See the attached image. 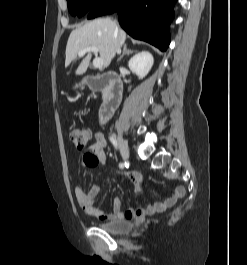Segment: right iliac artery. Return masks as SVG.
<instances>
[{
    "label": "right iliac artery",
    "instance_id": "right-iliac-artery-1",
    "mask_svg": "<svg viewBox=\"0 0 247 265\" xmlns=\"http://www.w3.org/2000/svg\"><path fill=\"white\" fill-rule=\"evenodd\" d=\"M110 141L113 143V145L115 146V147H117V141L113 138V137H110ZM124 163H120L119 164V167L120 168H124Z\"/></svg>",
    "mask_w": 247,
    "mask_h": 265
}]
</instances>
